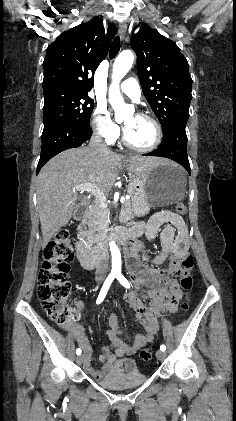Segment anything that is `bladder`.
I'll return each instance as SVG.
<instances>
[{
  "label": "bladder",
  "instance_id": "1",
  "mask_svg": "<svg viewBox=\"0 0 236 421\" xmlns=\"http://www.w3.org/2000/svg\"><path fill=\"white\" fill-rule=\"evenodd\" d=\"M147 379V375H142L133 359H119L118 363L111 367L101 380L104 386L118 390H129L130 388L141 386Z\"/></svg>",
  "mask_w": 236,
  "mask_h": 421
}]
</instances>
